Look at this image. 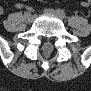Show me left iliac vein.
I'll return each mask as SVG.
<instances>
[{
	"label": "left iliac vein",
	"instance_id": "1",
	"mask_svg": "<svg viewBox=\"0 0 91 91\" xmlns=\"http://www.w3.org/2000/svg\"><path fill=\"white\" fill-rule=\"evenodd\" d=\"M44 11H45V13L52 14V15H55V16L61 18V16L58 14V12L55 11V10H53V9H49V8H48V9H45Z\"/></svg>",
	"mask_w": 91,
	"mask_h": 91
}]
</instances>
